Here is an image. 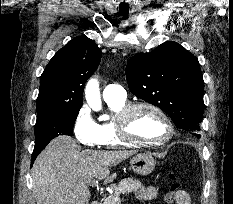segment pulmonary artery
<instances>
[{
	"instance_id": "1",
	"label": "pulmonary artery",
	"mask_w": 233,
	"mask_h": 204,
	"mask_svg": "<svg viewBox=\"0 0 233 204\" xmlns=\"http://www.w3.org/2000/svg\"><path fill=\"white\" fill-rule=\"evenodd\" d=\"M126 96L125 89L119 84H108L103 90V98L105 101L125 100Z\"/></svg>"
}]
</instances>
